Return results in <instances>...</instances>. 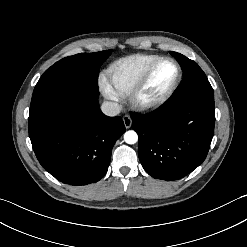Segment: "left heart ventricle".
<instances>
[{
	"label": "left heart ventricle",
	"mask_w": 247,
	"mask_h": 247,
	"mask_svg": "<svg viewBox=\"0 0 247 247\" xmlns=\"http://www.w3.org/2000/svg\"><path fill=\"white\" fill-rule=\"evenodd\" d=\"M177 75L176 66L170 61L161 62L151 74L142 96L152 98L165 92L174 82Z\"/></svg>",
	"instance_id": "obj_1"
}]
</instances>
